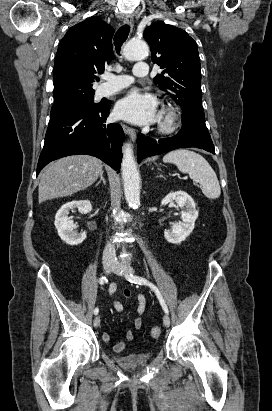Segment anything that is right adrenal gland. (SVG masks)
<instances>
[{
    "label": "right adrenal gland",
    "instance_id": "obj_1",
    "mask_svg": "<svg viewBox=\"0 0 272 411\" xmlns=\"http://www.w3.org/2000/svg\"><path fill=\"white\" fill-rule=\"evenodd\" d=\"M101 182H103L104 185H106V181L103 176V172L100 174V180L96 183V186H98Z\"/></svg>",
    "mask_w": 272,
    "mask_h": 411
}]
</instances>
